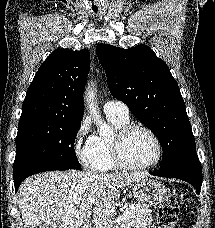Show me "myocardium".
Wrapping results in <instances>:
<instances>
[{
	"label": "myocardium",
	"instance_id": "1",
	"mask_svg": "<svg viewBox=\"0 0 215 228\" xmlns=\"http://www.w3.org/2000/svg\"><path fill=\"white\" fill-rule=\"evenodd\" d=\"M135 129H141L145 131L151 137L155 145L154 158L149 162L139 166L130 165L125 160L122 152V146L125 139ZM112 154H113L114 162L117 165V167L127 171H142L156 165L160 161L162 157V145L157 134L150 127L141 123L131 122L119 128L114 134L112 139Z\"/></svg>",
	"mask_w": 215,
	"mask_h": 228
}]
</instances>
